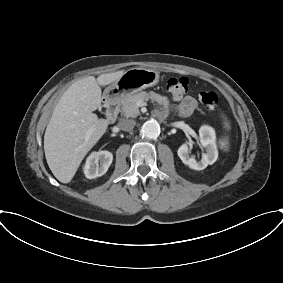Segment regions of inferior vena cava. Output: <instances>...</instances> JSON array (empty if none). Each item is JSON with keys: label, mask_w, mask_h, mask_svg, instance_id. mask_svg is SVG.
Returning a JSON list of instances; mask_svg holds the SVG:
<instances>
[{"label": "inferior vena cava", "mask_w": 283, "mask_h": 283, "mask_svg": "<svg viewBox=\"0 0 283 283\" xmlns=\"http://www.w3.org/2000/svg\"><path fill=\"white\" fill-rule=\"evenodd\" d=\"M118 125L123 131H131L135 126V121L131 119H123Z\"/></svg>", "instance_id": "1"}]
</instances>
